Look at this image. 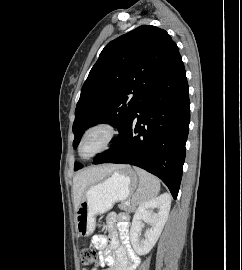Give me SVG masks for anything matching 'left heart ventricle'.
I'll list each match as a JSON object with an SVG mask.
<instances>
[{
	"label": "left heart ventricle",
	"mask_w": 242,
	"mask_h": 270,
	"mask_svg": "<svg viewBox=\"0 0 242 270\" xmlns=\"http://www.w3.org/2000/svg\"><path fill=\"white\" fill-rule=\"evenodd\" d=\"M105 133L102 130H96L90 133L83 142L81 153L87 157L97 151L103 144Z\"/></svg>",
	"instance_id": "1"
}]
</instances>
